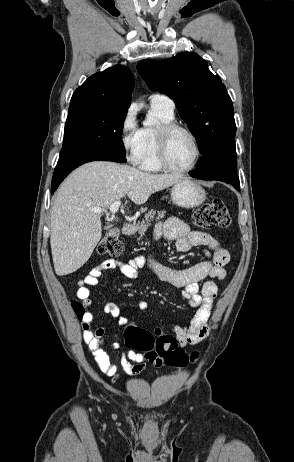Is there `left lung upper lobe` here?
I'll list each match as a JSON object with an SVG mask.
<instances>
[{"mask_svg": "<svg viewBox=\"0 0 294 462\" xmlns=\"http://www.w3.org/2000/svg\"><path fill=\"white\" fill-rule=\"evenodd\" d=\"M137 70L151 90L174 100L203 157L235 150L233 104L225 85L205 60L182 53L165 60H142Z\"/></svg>", "mask_w": 294, "mask_h": 462, "instance_id": "obj_1", "label": "left lung upper lobe"}]
</instances>
